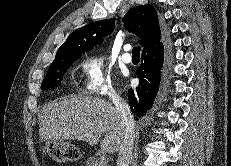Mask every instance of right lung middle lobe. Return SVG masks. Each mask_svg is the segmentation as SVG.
Instances as JSON below:
<instances>
[{
    "label": "right lung middle lobe",
    "instance_id": "right-lung-middle-lobe-1",
    "mask_svg": "<svg viewBox=\"0 0 231 166\" xmlns=\"http://www.w3.org/2000/svg\"><path fill=\"white\" fill-rule=\"evenodd\" d=\"M80 57L81 56H60L54 59L42 81L41 88L50 89L59 86L67 69Z\"/></svg>",
    "mask_w": 231,
    "mask_h": 166
}]
</instances>
